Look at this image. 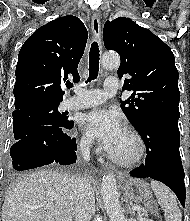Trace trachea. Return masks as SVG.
<instances>
[{
    "label": "trachea",
    "mask_w": 190,
    "mask_h": 221,
    "mask_svg": "<svg viewBox=\"0 0 190 221\" xmlns=\"http://www.w3.org/2000/svg\"><path fill=\"white\" fill-rule=\"evenodd\" d=\"M99 47L97 42L91 44L90 53H89V78L87 82L97 79L99 72ZM67 88H71L72 84H67Z\"/></svg>",
    "instance_id": "3493384b"
}]
</instances>
